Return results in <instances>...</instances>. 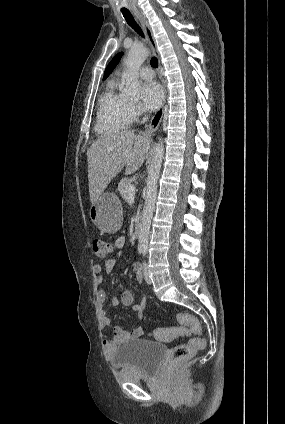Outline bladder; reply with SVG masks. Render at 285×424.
I'll return each instance as SVG.
<instances>
[{
  "mask_svg": "<svg viewBox=\"0 0 285 424\" xmlns=\"http://www.w3.org/2000/svg\"><path fill=\"white\" fill-rule=\"evenodd\" d=\"M166 353L164 344L147 339H131L116 347L113 362L131 374H150Z\"/></svg>",
  "mask_w": 285,
  "mask_h": 424,
  "instance_id": "obj_1",
  "label": "bladder"
}]
</instances>
